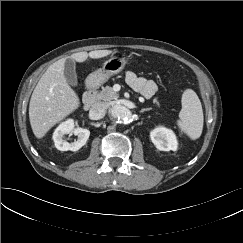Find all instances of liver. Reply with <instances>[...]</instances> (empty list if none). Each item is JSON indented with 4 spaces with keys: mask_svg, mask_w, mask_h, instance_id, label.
Returning <instances> with one entry per match:
<instances>
[{
    "mask_svg": "<svg viewBox=\"0 0 243 243\" xmlns=\"http://www.w3.org/2000/svg\"><path fill=\"white\" fill-rule=\"evenodd\" d=\"M111 50L78 52L69 56L77 62L89 58L99 59L108 56ZM65 58L50 65L38 81L29 103V120L37 138H42L57 123L78 109V95L68 84L65 75Z\"/></svg>",
    "mask_w": 243,
    "mask_h": 243,
    "instance_id": "1",
    "label": "liver"
}]
</instances>
